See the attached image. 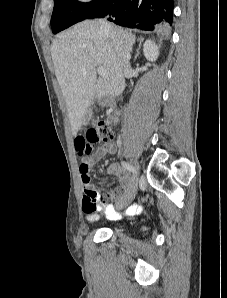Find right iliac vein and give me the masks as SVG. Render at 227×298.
<instances>
[{
  "label": "right iliac vein",
  "instance_id": "right-iliac-vein-1",
  "mask_svg": "<svg viewBox=\"0 0 227 298\" xmlns=\"http://www.w3.org/2000/svg\"><path fill=\"white\" fill-rule=\"evenodd\" d=\"M135 165L138 168V164H137L136 161H135ZM136 189H137V183L136 182H133V188H132V190H131L128 198L122 204L118 205V207H122V206H125V205L129 204L133 200V198H134V196L136 194Z\"/></svg>",
  "mask_w": 227,
  "mask_h": 298
}]
</instances>
